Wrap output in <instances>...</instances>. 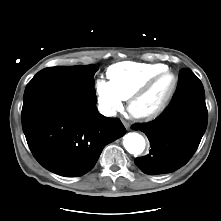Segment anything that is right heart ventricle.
I'll list each match as a JSON object with an SVG mask.
<instances>
[{
	"label": "right heart ventricle",
	"instance_id": "1",
	"mask_svg": "<svg viewBox=\"0 0 221 221\" xmlns=\"http://www.w3.org/2000/svg\"><path fill=\"white\" fill-rule=\"evenodd\" d=\"M167 69L164 64L121 62L107 69L109 83L123 100L139 90L149 79Z\"/></svg>",
	"mask_w": 221,
	"mask_h": 221
}]
</instances>
